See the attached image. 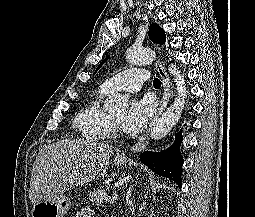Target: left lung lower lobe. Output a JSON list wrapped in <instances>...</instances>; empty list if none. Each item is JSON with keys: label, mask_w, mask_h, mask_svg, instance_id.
Segmentation results:
<instances>
[{"label": "left lung lower lobe", "mask_w": 255, "mask_h": 217, "mask_svg": "<svg viewBox=\"0 0 255 217\" xmlns=\"http://www.w3.org/2000/svg\"><path fill=\"white\" fill-rule=\"evenodd\" d=\"M182 141L181 133H178L175 142L168 149L160 152H143L140 160L156 174L172 179L181 187V168L183 157L179 151Z\"/></svg>", "instance_id": "0a47b994"}]
</instances>
